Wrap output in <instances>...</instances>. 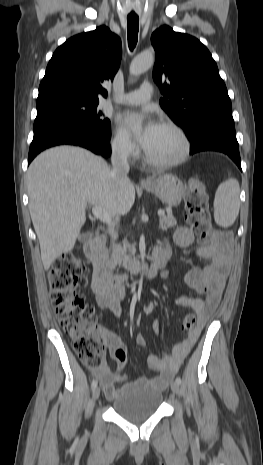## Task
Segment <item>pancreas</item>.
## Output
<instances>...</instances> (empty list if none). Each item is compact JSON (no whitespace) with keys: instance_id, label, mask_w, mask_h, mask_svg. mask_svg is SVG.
<instances>
[{"instance_id":"cf45deb5","label":"pancreas","mask_w":263,"mask_h":465,"mask_svg":"<svg viewBox=\"0 0 263 465\" xmlns=\"http://www.w3.org/2000/svg\"><path fill=\"white\" fill-rule=\"evenodd\" d=\"M176 219L173 215L163 216L159 221V227L163 231L168 230L176 225ZM123 245L112 243L109 248L110 262L113 266L119 265L134 272L138 262L134 257V245H130L127 239L122 242Z\"/></svg>"}]
</instances>
